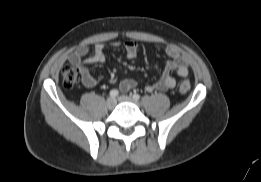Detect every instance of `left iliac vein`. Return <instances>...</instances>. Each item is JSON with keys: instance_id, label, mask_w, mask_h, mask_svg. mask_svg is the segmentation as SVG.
I'll list each match as a JSON object with an SVG mask.
<instances>
[{"instance_id": "1", "label": "left iliac vein", "mask_w": 261, "mask_h": 182, "mask_svg": "<svg viewBox=\"0 0 261 182\" xmlns=\"http://www.w3.org/2000/svg\"><path fill=\"white\" fill-rule=\"evenodd\" d=\"M118 101L120 102H130V103H133L135 105H139L138 101L137 100H134L133 98L129 97V96H126V95H122L118 98Z\"/></svg>"}]
</instances>
